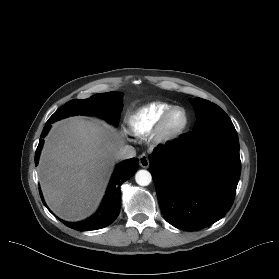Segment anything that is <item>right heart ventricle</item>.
<instances>
[{"mask_svg": "<svg viewBox=\"0 0 279 279\" xmlns=\"http://www.w3.org/2000/svg\"><path fill=\"white\" fill-rule=\"evenodd\" d=\"M170 107L172 105L166 102H152L143 106L128 118L131 133L136 136L149 134Z\"/></svg>", "mask_w": 279, "mask_h": 279, "instance_id": "1", "label": "right heart ventricle"}]
</instances>
